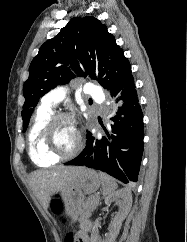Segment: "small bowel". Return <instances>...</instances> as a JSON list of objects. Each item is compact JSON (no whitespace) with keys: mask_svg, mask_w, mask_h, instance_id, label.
Returning <instances> with one entry per match:
<instances>
[{"mask_svg":"<svg viewBox=\"0 0 187 242\" xmlns=\"http://www.w3.org/2000/svg\"><path fill=\"white\" fill-rule=\"evenodd\" d=\"M91 227L92 224L90 221H81L79 231L76 234L78 242H89V232L91 230Z\"/></svg>","mask_w":187,"mask_h":242,"instance_id":"obj_1","label":"small bowel"}]
</instances>
